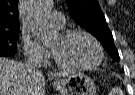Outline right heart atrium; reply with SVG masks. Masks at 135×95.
<instances>
[{
	"label": "right heart atrium",
	"mask_w": 135,
	"mask_h": 95,
	"mask_svg": "<svg viewBox=\"0 0 135 95\" xmlns=\"http://www.w3.org/2000/svg\"><path fill=\"white\" fill-rule=\"evenodd\" d=\"M22 46L26 57L29 59H47L48 52L30 35L25 34L22 36Z\"/></svg>",
	"instance_id": "d8ad5b80"
}]
</instances>
